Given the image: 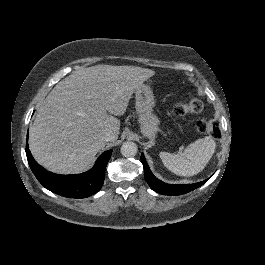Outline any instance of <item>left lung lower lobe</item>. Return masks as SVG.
I'll return each instance as SVG.
<instances>
[{
	"mask_svg": "<svg viewBox=\"0 0 265 265\" xmlns=\"http://www.w3.org/2000/svg\"><path fill=\"white\" fill-rule=\"evenodd\" d=\"M141 161L144 167V175L147 183L149 186L156 191L157 193L163 194V195H181L185 194L187 192H190L201 185H203L207 180L195 183V184H183V185H171L164 183L160 180H158L150 171V168L145 160V157L143 154H141Z\"/></svg>",
	"mask_w": 265,
	"mask_h": 265,
	"instance_id": "1",
	"label": "left lung lower lobe"
}]
</instances>
